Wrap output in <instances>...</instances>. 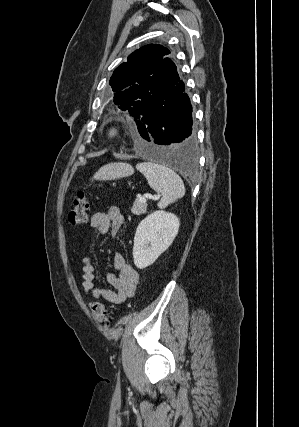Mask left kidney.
I'll use <instances>...</instances> for the list:
<instances>
[{
	"label": "left kidney",
	"mask_w": 299,
	"mask_h": 427,
	"mask_svg": "<svg viewBox=\"0 0 299 427\" xmlns=\"http://www.w3.org/2000/svg\"><path fill=\"white\" fill-rule=\"evenodd\" d=\"M176 215L162 210L155 211L138 225L134 237L133 258L139 269L152 265L172 244L179 229Z\"/></svg>",
	"instance_id": "obj_1"
}]
</instances>
